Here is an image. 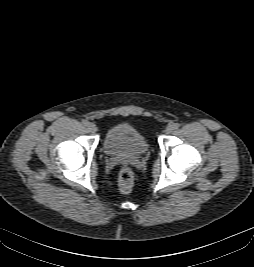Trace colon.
Here are the masks:
<instances>
[{
    "instance_id": "obj_1",
    "label": "colon",
    "mask_w": 254,
    "mask_h": 267,
    "mask_svg": "<svg viewBox=\"0 0 254 267\" xmlns=\"http://www.w3.org/2000/svg\"><path fill=\"white\" fill-rule=\"evenodd\" d=\"M134 183L133 171L129 167H123L118 177V188L122 193L131 191Z\"/></svg>"
}]
</instances>
